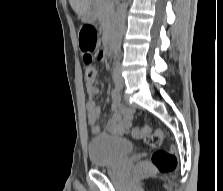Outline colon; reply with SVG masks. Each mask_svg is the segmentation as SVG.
Returning a JSON list of instances; mask_svg holds the SVG:
<instances>
[{"label": "colon", "instance_id": "5ec220e1", "mask_svg": "<svg viewBox=\"0 0 223 191\" xmlns=\"http://www.w3.org/2000/svg\"><path fill=\"white\" fill-rule=\"evenodd\" d=\"M80 47L85 53V78L88 83H94L97 79V70L91 65L93 53L97 44V32L91 25H83L80 29ZM135 139H143L150 147L155 148L150 161L140 163L138 171L149 173L157 170L164 174L172 173L177 167V158L173 148H162L163 133L162 131L152 132L150 127L144 126L135 128L132 131Z\"/></svg>", "mask_w": 223, "mask_h": 191}]
</instances>
